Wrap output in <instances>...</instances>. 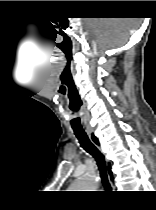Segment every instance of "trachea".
Returning a JSON list of instances; mask_svg holds the SVG:
<instances>
[{"label":"trachea","instance_id":"obj_1","mask_svg":"<svg viewBox=\"0 0 156 210\" xmlns=\"http://www.w3.org/2000/svg\"><path fill=\"white\" fill-rule=\"evenodd\" d=\"M77 139L79 140L80 146L89 154H91L98 165L100 177L102 179V183L105 187H109V180L107 177L106 171V162L104 155L99 151V149L90 141L86 132L84 131H75L74 132Z\"/></svg>","mask_w":156,"mask_h":210}]
</instances>
